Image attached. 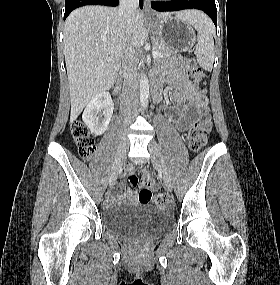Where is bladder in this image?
Listing matches in <instances>:
<instances>
[{
  "instance_id": "31cf9c89",
  "label": "bladder",
  "mask_w": 280,
  "mask_h": 285,
  "mask_svg": "<svg viewBox=\"0 0 280 285\" xmlns=\"http://www.w3.org/2000/svg\"><path fill=\"white\" fill-rule=\"evenodd\" d=\"M171 214L154 206L116 207L103 212L105 227L118 235L153 237L167 231Z\"/></svg>"
}]
</instances>
